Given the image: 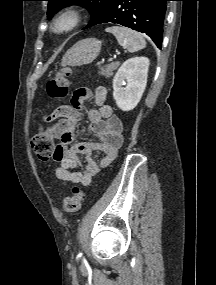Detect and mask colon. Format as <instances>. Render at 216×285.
I'll return each instance as SVG.
<instances>
[{"label":"colon","instance_id":"colon-1","mask_svg":"<svg viewBox=\"0 0 216 285\" xmlns=\"http://www.w3.org/2000/svg\"><path fill=\"white\" fill-rule=\"evenodd\" d=\"M70 73L71 70L69 68H63L47 83L46 89L49 97L52 99H60L67 94L69 86L68 76ZM31 146L38 158L43 161H47L54 157L56 147L54 138L50 132L45 130L39 131L33 136ZM84 199V192L80 188L74 187L72 195L66 197L63 201V211L66 213L77 212Z\"/></svg>","mask_w":216,"mask_h":285}]
</instances>
